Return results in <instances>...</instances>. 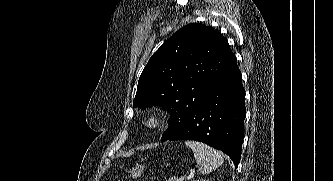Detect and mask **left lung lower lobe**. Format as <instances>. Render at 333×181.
Here are the masks:
<instances>
[{
  "label": "left lung lower lobe",
  "instance_id": "0a47b994",
  "mask_svg": "<svg viewBox=\"0 0 333 181\" xmlns=\"http://www.w3.org/2000/svg\"><path fill=\"white\" fill-rule=\"evenodd\" d=\"M245 90L237 60L209 87L201 105L170 121L161 141L195 140L226 153L237 167L244 136Z\"/></svg>",
  "mask_w": 333,
  "mask_h": 181
}]
</instances>
